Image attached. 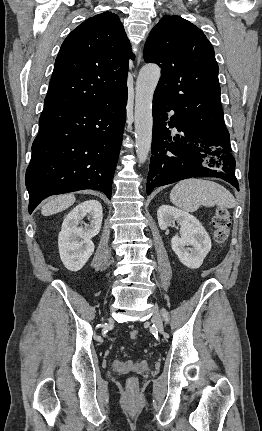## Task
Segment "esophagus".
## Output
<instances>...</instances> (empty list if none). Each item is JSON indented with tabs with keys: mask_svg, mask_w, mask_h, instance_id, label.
I'll list each match as a JSON object with an SVG mask.
<instances>
[{
	"mask_svg": "<svg viewBox=\"0 0 262 431\" xmlns=\"http://www.w3.org/2000/svg\"><path fill=\"white\" fill-rule=\"evenodd\" d=\"M141 56H142V54H141V51L139 52V56H138V64L140 63V61H141Z\"/></svg>",
	"mask_w": 262,
	"mask_h": 431,
	"instance_id": "esophagus-1",
	"label": "esophagus"
}]
</instances>
